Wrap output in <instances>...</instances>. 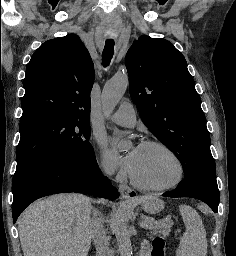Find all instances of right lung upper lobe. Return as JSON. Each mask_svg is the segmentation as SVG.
<instances>
[{
  "label": "right lung upper lobe",
  "mask_w": 236,
  "mask_h": 256,
  "mask_svg": "<svg viewBox=\"0 0 236 256\" xmlns=\"http://www.w3.org/2000/svg\"><path fill=\"white\" fill-rule=\"evenodd\" d=\"M94 65L75 34L43 43L26 68L21 118L40 113L89 120Z\"/></svg>",
  "instance_id": "cb5924a9"
}]
</instances>
